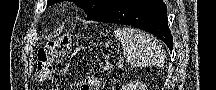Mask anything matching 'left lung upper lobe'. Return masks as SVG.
Wrapping results in <instances>:
<instances>
[{"instance_id": "1", "label": "left lung upper lobe", "mask_w": 216, "mask_h": 90, "mask_svg": "<svg viewBox=\"0 0 216 90\" xmlns=\"http://www.w3.org/2000/svg\"><path fill=\"white\" fill-rule=\"evenodd\" d=\"M60 1L62 0H48L47 5L50 6ZM71 1H73L80 8L84 9V11L87 14L86 20H94L102 13L121 5L126 0H71Z\"/></svg>"}]
</instances>
